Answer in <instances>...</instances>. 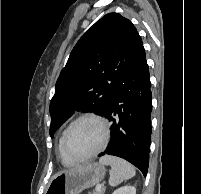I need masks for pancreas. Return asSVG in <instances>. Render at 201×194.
<instances>
[{
	"label": "pancreas",
	"instance_id": "pancreas-1",
	"mask_svg": "<svg viewBox=\"0 0 201 194\" xmlns=\"http://www.w3.org/2000/svg\"><path fill=\"white\" fill-rule=\"evenodd\" d=\"M105 193V187H101L100 191H93L91 194H104Z\"/></svg>",
	"mask_w": 201,
	"mask_h": 194
}]
</instances>
